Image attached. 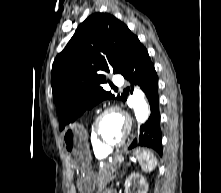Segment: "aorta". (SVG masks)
Instances as JSON below:
<instances>
[{
    "mask_svg": "<svg viewBox=\"0 0 221 193\" xmlns=\"http://www.w3.org/2000/svg\"><path fill=\"white\" fill-rule=\"evenodd\" d=\"M133 108L138 123H144L150 114L148 104L145 101V94L140 89H135L132 95Z\"/></svg>",
    "mask_w": 221,
    "mask_h": 193,
    "instance_id": "1",
    "label": "aorta"
}]
</instances>
